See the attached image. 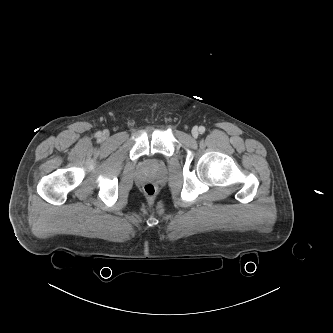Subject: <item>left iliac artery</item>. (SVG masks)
<instances>
[{
    "mask_svg": "<svg viewBox=\"0 0 333 333\" xmlns=\"http://www.w3.org/2000/svg\"><path fill=\"white\" fill-rule=\"evenodd\" d=\"M199 132L202 134L205 132V127L204 126H200L199 127Z\"/></svg>",
    "mask_w": 333,
    "mask_h": 333,
    "instance_id": "left-iliac-artery-1",
    "label": "left iliac artery"
}]
</instances>
